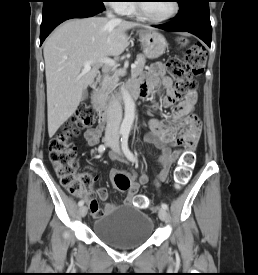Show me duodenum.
<instances>
[{
  "label": "duodenum",
  "instance_id": "duodenum-1",
  "mask_svg": "<svg viewBox=\"0 0 258 275\" xmlns=\"http://www.w3.org/2000/svg\"><path fill=\"white\" fill-rule=\"evenodd\" d=\"M96 83H97V79L96 76L90 80L89 85L92 89L96 88ZM141 92L140 89L137 87H128L126 89L125 95L133 98H137L138 96H140ZM96 111L99 117V120L103 123H105L108 118L110 117L111 114V107H107L105 105L102 104H97L96 105Z\"/></svg>",
  "mask_w": 258,
  "mask_h": 275
}]
</instances>
